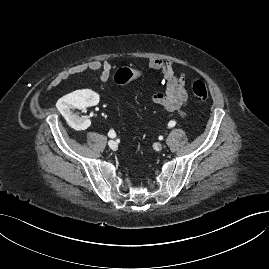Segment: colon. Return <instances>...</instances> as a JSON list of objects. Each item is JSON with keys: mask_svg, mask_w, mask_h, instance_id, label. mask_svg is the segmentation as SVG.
I'll list each match as a JSON object with an SVG mask.
<instances>
[{"mask_svg": "<svg viewBox=\"0 0 269 269\" xmlns=\"http://www.w3.org/2000/svg\"><path fill=\"white\" fill-rule=\"evenodd\" d=\"M133 78H135L133 71L127 68H122L119 69L114 75V83L117 86H123ZM192 94L196 102H204L208 97V92L205 84L201 81L194 82L192 84Z\"/></svg>", "mask_w": 269, "mask_h": 269, "instance_id": "1", "label": "colon"}]
</instances>
